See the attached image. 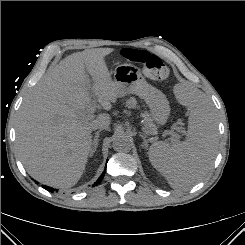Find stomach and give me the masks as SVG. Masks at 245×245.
Wrapping results in <instances>:
<instances>
[{
    "instance_id": "stomach-1",
    "label": "stomach",
    "mask_w": 245,
    "mask_h": 245,
    "mask_svg": "<svg viewBox=\"0 0 245 245\" xmlns=\"http://www.w3.org/2000/svg\"><path fill=\"white\" fill-rule=\"evenodd\" d=\"M113 81L119 95L135 94L148 105L152 118L158 126L164 125L170 115V106L166 95L149 84L139 69L131 64H121L114 70Z\"/></svg>"
}]
</instances>
